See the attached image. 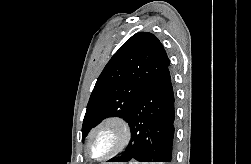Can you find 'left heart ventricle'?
Returning a JSON list of instances; mask_svg holds the SVG:
<instances>
[{
	"label": "left heart ventricle",
	"instance_id": "left-heart-ventricle-1",
	"mask_svg": "<svg viewBox=\"0 0 251 164\" xmlns=\"http://www.w3.org/2000/svg\"><path fill=\"white\" fill-rule=\"evenodd\" d=\"M116 133L109 128L100 131L91 143V150L95 156H102L108 153L116 144Z\"/></svg>",
	"mask_w": 251,
	"mask_h": 164
}]
</instances>
